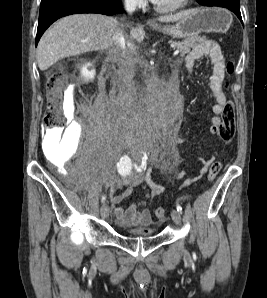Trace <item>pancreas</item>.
Instances as JSON below:
<instances>
[{
	"mask_svg": "<svg viewBox=\"0 0 267 298\" xmlns=\"http://www.w3.org/2000/svg\"><path fill=\"white\" fill-rule=\"evenodd\" d=\"M201 38L199 36L188 37L183 41H173L172 46L180 51V55L184 56L189 53L191 48H193L198 42H200Z\"/></svg>",
	"mask_w": 267,
	"mask_h": 298,
	"instance_id": "obj_1",
	"label": "pancreas"
}]
</instances>
